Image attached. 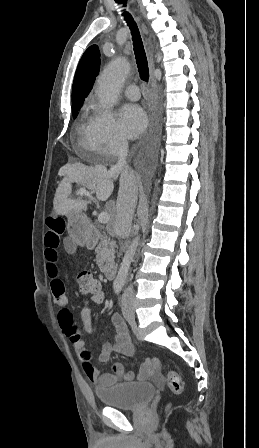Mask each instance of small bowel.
Segmentation results:
<instances>
[{"instance_id":"1","label":"small bowel","mask_w":259,"mask_h":448,"mask_svg":"<svg viewBox=\"0 0 259 448\" xmlns=\"http://www.w3.org/2000/svg\"><path fill=\"white\" fill-rule=\"evenodd\" d=\"M64 232V224L59 219H51L47 222L44 235V254L47 272L50 278V288L54 304L57 306V320L63 333L70 339L76 353L79 355L82 367L88 379L99 387H110L119 381H129L134 378L144 380L147 378H157L159 375L160 361L157 358H148L141 366L140 371L135 375L126 373L121 363H114L112 372H101L91 362L90 353L85 348V342L81 333L74 326L73 317L68 309V299L65 293L63 281L59 277L58 269V246ZM105 296L102 292L83 299L81 321L82 328L86 333L93 331L92 309L94 306L103 303ZM111 321L115 330L114 341L105 343L102 346L100 361L108 362L112 354L117 353L123 356H131L134 353L133 345L130 341L128 328L123 318L118 314H113Z\"/></svg>"}]
</instances>
